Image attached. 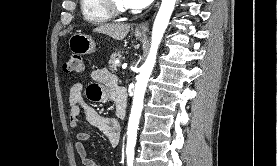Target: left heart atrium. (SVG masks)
Listing matches in <instances>:
<instances>
[{"label": "left heart atrium", "mask_w": 277, "mask_h": 166, "mask_svg": "<svg viewBox=\"0 0 277 166\" xmlns=\"http://www.w3.org/2000/svg\"><path fill=\"white\" fill-rule=\"evenodd\" d=\"M128 8L142 9L152 3L153 0H123Z\"/></svg>", "instance_id": "1"}]
</instances>
